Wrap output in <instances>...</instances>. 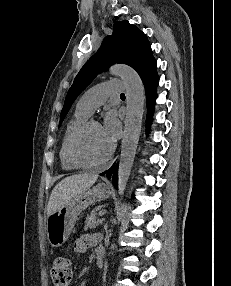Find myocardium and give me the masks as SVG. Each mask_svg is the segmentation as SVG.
<instances>
[{
	"instance_id": "1",
	"label": "myocardium",
	"mask_w": 231,
	"mask_h": 286,
	"mask_svg": "<svg viewBox=\"0 0 231 286\" xmlns=\"http://www.w3.org/2000/svg\"><path fill=\"white\" fill-rule=\"evenodd\" d=\"M92 125L100 126L99 122H97L96 120L87 119L84 123H82L78 127V129L74 132V134L72 135V137L69 141L68 157H69L70 161L75 166H77L79 168H92V167L104 165L105 163H107L111 159V157L113 156V153L115 151V144L112 143V146H111L109 152L107 153V155L100 160L91 161V160H87V159L83 158L80 155V153L78 151V146H79L80 140L82 139L83 135L88 130V128L91 127Z\"/></svg>"
}]
</instances>
